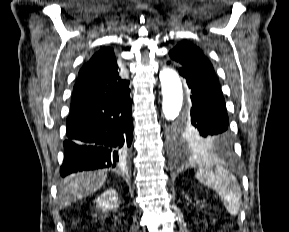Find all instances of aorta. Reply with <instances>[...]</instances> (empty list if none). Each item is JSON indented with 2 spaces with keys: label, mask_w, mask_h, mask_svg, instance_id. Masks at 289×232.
Segmentation results:
<instances>
[{
  "label": "aorta",
  "mask_w": 289,
  "mask_h": 232,
  "mask_svg": "<svg viewBox=\"0 0 289 232\" xmlns=\"http://www.w3.org/2000/svg\"><path fill=\"white\" fill-rule=\"evenodd\" d=\"M162 86V110L168 121H177L181 119L186 123L185 118H180L183 107V89L178 73L170 68L163 69L160 74Z\"/></svg>",
  "instance_id": "1"
}]
</instances>
